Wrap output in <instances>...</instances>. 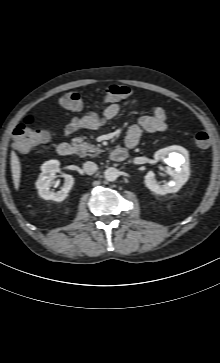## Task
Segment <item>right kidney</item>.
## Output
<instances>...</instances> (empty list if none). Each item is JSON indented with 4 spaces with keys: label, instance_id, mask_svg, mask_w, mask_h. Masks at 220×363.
Wrapping results in <instances>:
<instances>
[{
    "label": "right kidney",
    "instance_id": "obj_1",
    "mask_svg": "<svg viewBox=\"0 0 220 363\" xmlns=\"http://www.w3.org/2000/svg\"><path fill=\"white\" fill-rule=\"evenodd\" d=\"M59 161L50 160L42 164L41 174L36 181V187L38 189L39 195L46 200H54L57 202L63 201L70 189L74 184V178L71 175L65 174V182L61 190L53 192L50 187L55 178V174L60 172Z\"/></svg>",
    "mask_w": 220,
    "mask_h": 363
}]
</instances>
